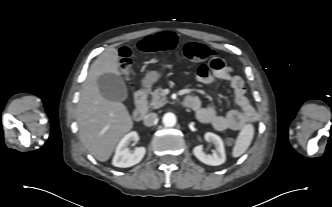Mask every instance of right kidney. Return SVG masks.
<instances>
[{
    "label": "right kidney",
    "mask_w": 332,
    "mask_h": 207,
    "mask_svg": "<svg viewBox=\"0 0 332 207\" xmlns=\"http://www.w3.org/2000/svg\"><path fill=\"white\" fill-rule=\"evenodd\" d=\"M138 133L132 131L126 134L116 147L115 155L112 164L116 167L127 168L138 164L144 157L146 149L138 147L133 153L130 152L128 146L132 141H138Z\"/></svg>",
    "instance_id": "right-kidney-1"
}]
</instances>
